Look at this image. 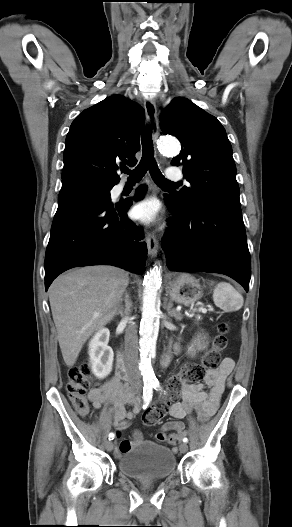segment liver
Segmentation results:
<instances>
[{
    "label": "liver",
    "instance_id": "liver-1",
    "mask_svg": "<svg viewBox=\"0 0 292 527\" xmlns=\"http://www.w3.org/2000/svg\"><path fill=\"white\" fill-rule=\"evenodd\" d=\"M128 274L113 266H89L59 276L49 301L65 364L71 367L87 339L117 314Z\"/></svg>",
    "mask_w": 292,
    "mask_h": 527
}]
</instances>
